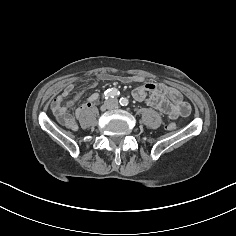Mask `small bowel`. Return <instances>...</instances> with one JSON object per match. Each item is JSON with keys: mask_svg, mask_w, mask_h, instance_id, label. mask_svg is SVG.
I'll return each mask as SVG.
<instances>
[{"mask_svg": "<svg viewBox=\"0 0 236 236\" xmlns=\"http://www.w3.org/2000/svg\"><path fill=\"white\" fill-rule=\"evenodd\" d=\"M103 80L117 79L123 83L139 84L132 92L133 98L138 102H145L148 106L162 112L170 118L186 117L191 112L189 103L183 100L181 93L174 87L164 84L147 82L141 75L114 77L109 74L100 76ZM95 81H90L89 85L93 86ZM74 91V85L68 84L53 100L52 112L56 121L71 130L76 129V121L82 116L86 108L90 107L97 101L99 95L93 93L89 96L86 103L77 107L73 114L69 113V107L74 106L82 97L84 91L77 93L69 100Z\"/></svg>", "mask_w": 236, "mask_h": 236, "instance_id": "1", "label": "small bowel"}]
</instances>
